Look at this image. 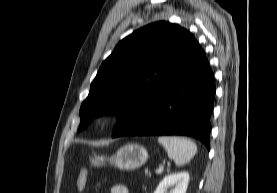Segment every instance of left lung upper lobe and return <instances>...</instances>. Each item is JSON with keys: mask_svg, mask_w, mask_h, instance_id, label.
Masks as SVG:
<instances>
[{"mask_svg": "<svg viewBox=\"0 0 277 193\" xmlns=\"http://www.w3.org/2000/svg\"><path fill=\"white\" fill-rule=\"evenodd\" d=\"M193 35L176 24H149L120 41L102 63L80 108L82 130L96 117L119 112L115 131L188 59Z\"/></svg>", "mask_w": 277, "mask_h": 193, "instance_id": "left-lung-upper-lobe-1", "label": "left lung upper lobe"}]
</instances>
